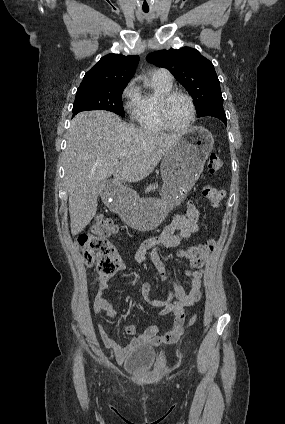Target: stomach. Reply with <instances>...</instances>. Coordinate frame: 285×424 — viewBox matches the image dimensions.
<instances>
[{
  "label": "stomach",
  "mask_w": 285,
  "mask_h": 424,
  "mask_svg": "<svg viewBox=\"0 0 285 424\" xmlns=\"http://www.w3.org/2000/svg\"><path fill=\"white\" fill-rule=\"evenodd\" d=\"M214 138L204 127H194L165 154L160 171L161 198L118 193L111 207L132 227L151 230L160 225L168 212L180 204L202 173Z\"/></svg>",
  "instance_id": "stomach-1"
}]
</instances>
